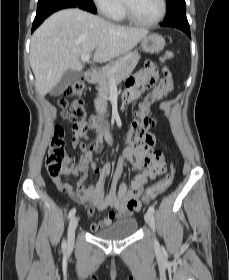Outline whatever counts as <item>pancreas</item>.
<instances>
[{
    "instance_id": "cf45deb5",
    "label": "pancreas",
    "mask_w": 229,
    "mask_h": 280,
    "mask_svg": "<svg viewBox=\"0 0 229 280\" xmlns=\"http://www.w3.org/2000/svg\"><path fill=\"white\" fill-rule=\"evenodd\" d=\"M140 57L141 56L136 52L127 53L97 74L96 83L98 85L97 90L99 94V97L95 100L97 111H106L111 80H114L117 83L124 80L133 71ZM114 69L117 70L113 72L111 76L109 72Z\"/></svg>"
}]
</instances>
